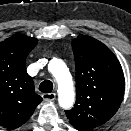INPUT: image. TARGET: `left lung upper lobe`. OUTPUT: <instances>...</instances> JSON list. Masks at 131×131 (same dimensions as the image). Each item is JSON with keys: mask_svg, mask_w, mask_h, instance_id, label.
Returning <instances> with one entry per match:
<instances>
[{"mask_svg": "<svg viewBox=\"0 0 131 131\" xmlns=\"http://www.w3.org/2000/svg\"><path fill=\"white\" fill-rule=\"evenodd\" d=\"M76 65V103L65 111L79 131H92L118 110L125 88L120 62L100 41L85 35L72 40Z\"/></svg>", "mask_w": 131, "mask_h": 131, "instance_id": "obj_1", "label": "left lung upper lobe"}]
</instances>
